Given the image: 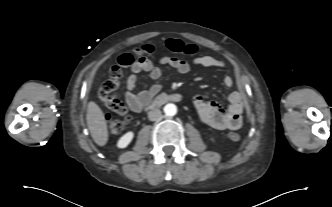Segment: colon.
<instances>
[{
    "label": "colon",
    "mask_w": 332,
    "mask_h": 207,
    "mask_svg": "<svg viewBox=\"0 0 332 207\" xmlns=\"http://www.w3.org/2000/svg\"><path fill=\"white\" fill-rule=\"evenodd\" d=\"M165 45L170 52L184 56H193L198 51L195 45L184 44L182 41L175 38L167 39ZM154 49V45L147 44L141 48L135 49L134 53L122 54L118 58L117 63L110 68L109 77L98 89L100 101L110 110L121 115L124 112V104L114 95L123 76V68L131 67L139 57L146 53H152ZM127 123L126 119H109V129L112 133H120L125 129ZM227 137L233 142L240 139V135L236 132H229Z\"/></svg>",
    "instance_id": "obj_1"
}]
</instances>
